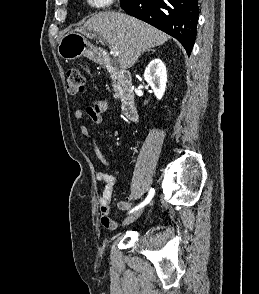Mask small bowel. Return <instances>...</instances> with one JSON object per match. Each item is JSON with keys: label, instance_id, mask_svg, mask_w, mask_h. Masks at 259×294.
<instances>
[{"label": "small bowel", "instance_id": "small-bowel-1", "mask_svg": "<svg viewBox=\"0 0 259 294\" xmlns=\"http://www.w3.org/2000/svg\"><path fill=\"white\" fill-rule=\"evenodd\" d=\"M108 106L109 104L106 99H98L91 106L87 107L86 114L90 117L94 124L100 125L103 121V115L107 111ZM83 116L84 112L82 110L76 109L74 111V117L77 120H81ZM80 131L83 135L87 136L90 139L94 149V153L99 159L101 166L103 168L96 174L97 180L102 183V191L99 197L101 224L107 229L114 230L117 228L118 223L110 217L109 212L112 195L117 183V177L110 174L112 166L106 159L101 148L99 147L96 136L91 134L89 129L84 125L80 127ZM131 205L132 202L127 199L119 201L117 207L120 210L125 211L128 210L131 207Z\"/></svg>", "mask_w": 259, "mask_h": 294}]
</instances>
